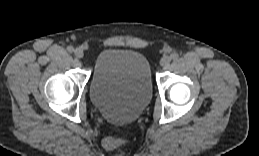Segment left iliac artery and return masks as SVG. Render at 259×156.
Here are the masks:
<instances>
[{"label":"left iliac artery","instance_id":"left-iliac-artery-1","mask_svg":"<svg viewBox=\"0 0 259 156\" xmlns=\"http://www.w3.org/2000/svg\"><path fill=\"white\" fill-rule=\"evenodd\" d=\"M170 57H171V59L176 60V59H178L179 55H178V53H172L170 55Z\"/></svg>","mask_w":259,"mask_h":156}]
</instances>
